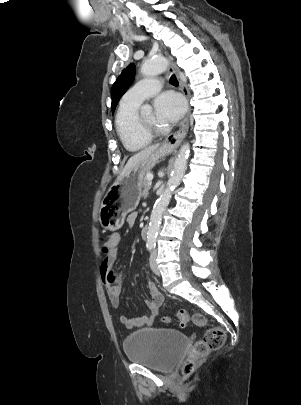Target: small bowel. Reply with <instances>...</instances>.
<instances>
[{"label": "small bowel", "instance_id": "obj_1", "mask_svg": "<svg viewBox=\"0 0 301 405\" xmlns=\"http://www.w3.org/2000/svg\"><path fill=\"white\" fill-rule=\"evenodd\" d=\"M137 218L135 212L127 216V224L133 226ZM109 249L105 252V258L100 266L101 279L104 284L107 296L113 307H119L123 293L122 275L114 270V265L118 259V244L120 234L113 233L112 238H108ZM150 298L145 300V305L149 310L147 315L137 318H130L125 315L120 316V321L128 328H141L152 325L160 311L164 298L159 289L152 282H149Z\"/></svg>", "mask_w": 301, "mask_h": 405}]
</instances>
